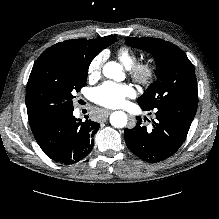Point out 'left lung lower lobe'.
<instances>
[{
	"instance_id": "0a47b994",
	"label": "left lung lower lobe",
	"mask_w": 219,
	"mask_h": 219,
	"mask_svg": "<svg viewBox=\"0 0 219 219\" xmlns=\"http://www.w3.org/2000/svg\"><path fill=\"white\" fill-rule=\"evenodd\" d=\"M197 106L198 99H187L154 109L141 107L145 111L154 110L156 118L151 122L152 127L144 126L139 118L135 128H126L127 147L147 162L155 163L169 158L183 144Z\"/></svg>"
}]
</instances>
